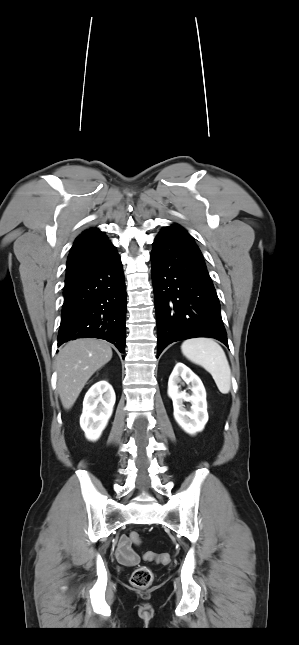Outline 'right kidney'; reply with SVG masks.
<instances>
[{"instance_id": "right-kidney-1", "label": "right kidney", "mask_w": 299, "mask_h": 645, "mask_svg": "<svg viewBox=\"0 0 299 645\" xmlns=\"http://www.w3.org/2000/svg\"><path fill=\"white\" fill-rule=\"evenodd\" d=\"M115 392L106 381L95 383L86 393L80 426L88 440L96 441L105 429L115 404Z\"/></svg>"}]
</instances>
